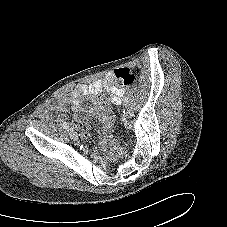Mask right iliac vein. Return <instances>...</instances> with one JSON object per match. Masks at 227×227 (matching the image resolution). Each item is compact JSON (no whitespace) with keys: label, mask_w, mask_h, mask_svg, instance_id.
I'll return each instance as SVG.
<instances>
[{"label":"right iliac vein","mask_w":227,"mask_h":227,"mask_svg":"<svg viewBox=\"0 0 227 227\" xmlns=\"http://www.w3.org/2000/svg\"><path fill=\"white\" fill-rule=\"evenodd\" d=\"M68 133H69V135H70V137L72 139H76L77 138V133L74 130L68 129Z\"/></svg>","instance_id":"obj_1"}]
</instances>
